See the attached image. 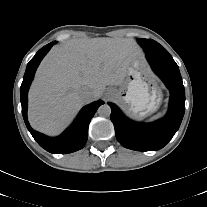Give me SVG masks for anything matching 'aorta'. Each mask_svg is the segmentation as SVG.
Wrapping results in <instances>:
<instances>
[{"instance_id":"1","label":"aorta","mask_w":207,"mask_h":207,"mask_svg":"<svg viewBox=\"0 0 207 207\" xmlns=\"http://www.w3.org/2000/svg\"><path fill=\"white\" fill-rule=\"evenodd\" d=\"M98 114L102 117H109L111 114V108L109 105L104 104L101 105L98 110H97Z\"/></svg>"}]
</instances>
